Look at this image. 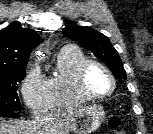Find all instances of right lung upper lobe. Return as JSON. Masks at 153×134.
I'll list each match as a JSON object with an SVG mask.
<instances>
[{
    "instance_id": "obj_1",
    "label": "right lung upper lobe",
    "mask_w": 153,
    "mask_h": 134,
    "mask_svg": "<svg viewBox=\"0 0 153 134\" xmlns=\"http://www.w3.org/2000/svg\"><path fill=\"white\" fill-rule=\"evenodd\" d=\"M36 31L9 25L0 31V71L25 70L31 51L42 43Z\"/></svg>"
}]
</instances>
